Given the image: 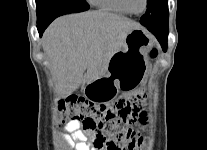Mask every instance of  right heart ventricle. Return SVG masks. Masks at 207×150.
Wrapping results in <instances>:
<instances>
[{
  "label": "right heart ventricle",
  "mask_w": 207,
  "mask_h": 150,
  "mask_svg": "<svg viewBox=\"0 0 207 150\" xmlns=\"http://www.w3.org/2000/svg\"><path fill=\"white\" fill-rule=\"evenodd\" d=\"M96 7L121 15H130L122 0H90Z\"/></svg>",
  "instance_id": "e07e8e85"
}]
</instances>
